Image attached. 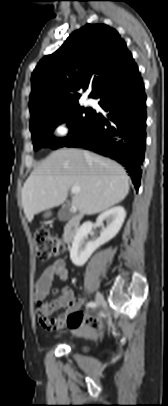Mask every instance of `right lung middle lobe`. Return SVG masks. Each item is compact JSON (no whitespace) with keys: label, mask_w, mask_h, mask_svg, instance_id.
<instances>
[{"label":"right lung middle lobe","mask_w":168,"mask_h":406,"mask_svg":"<svg viewBox=\"0 0 168 406\" xmlns=\"http://www.w3.org/2000/svg\"><path fill=\"white\" fill-rule=\"evenodd\" d=\"M95 111L91 108L80 107L74 104L55 114L45 117L39 121L30 124L34 149L38 150L43 147L53 149L64 147L74 136L82 131L90 122ZM69 121L70 132L63 139H55L51 136L54 128L60 123Z\"/></svg>","instance_id":"dd1d6c3e"}]
</instances>
